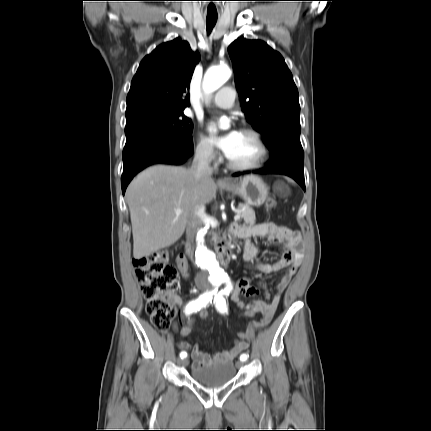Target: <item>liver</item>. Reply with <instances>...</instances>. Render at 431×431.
I'll use <instances>...</instances> for the list:
<instances>
[{
	"label": "liver",
	"mask_w": 431,
	"mask_h": 431,
	"mask_svg": "<svg viewBox=\"0 0 431 431\" xmlns=\"http://www.w3.org/2000/svg\"><path fill=\"white\" fill-rule=\"evenodd\" d=\"M210 178L196 179L190 169L155 165L141 172L128 186L133 234V256L140 259L174 244L199 205L216 198ZM176 209L182 211L175 213Z\"/></svg>",
	"instance_id": "liver-1"
}]
</instances>
